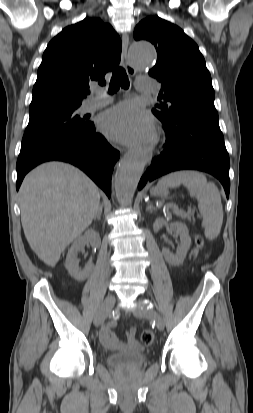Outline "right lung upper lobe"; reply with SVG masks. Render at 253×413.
Instances as JSON below:
<instances>
[{
	"label": "right lung upper lobe",
	"instance_id": "cb5924a9",
	"mask_svg": "<svg viewBox=\"0 0 253 413\" xmlns=\"http://www.w3.org/2000/svg\"><path fill=\"white\" fill-rule=\"evenodd\" d=\"M120 56L119 36L100 19L85 18L66 27L43 54L29 112L80 106L89 94V83L104 85V75Z\"/></svg>",
	"mask_w": 253,
	"mask_h": 413
}]
</instances>
